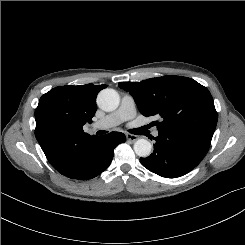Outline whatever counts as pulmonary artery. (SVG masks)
Wrapping results in <instances>:
<instances>
[{"mask_svg":"<svg viewBox=\"0 0 245 245\" xmlns=\"http://www.w3.org/2000/svg\"><path fill=\"white\" fill-rule=\"evenodd\" d=\"M135 115L136 108L133 98L129 95H125L122 98L120 107L116 111L95 122L93 127L98 129L111 128L126 120L132 119ZM155 135H158L157 131L155 132Z\"/></svg>","mask_w":245,"mask_h":245,"instance_id":"e3ab8cb5","label":"pulmonary artery"}]
</instances>
